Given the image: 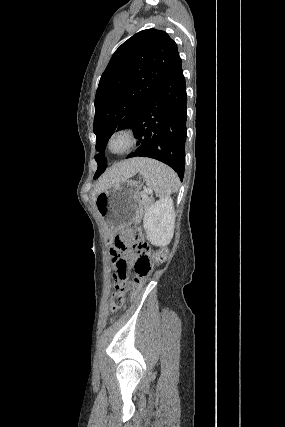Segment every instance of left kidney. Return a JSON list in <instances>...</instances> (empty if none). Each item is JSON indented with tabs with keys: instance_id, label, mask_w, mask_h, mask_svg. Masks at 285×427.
Returning a JSON list of instances; mask_svg holds the SVG:
<instances>
[{
	"instance_id": "obj_1",
	"label": "left kidney",
	"mask_w": 285,
	"mask_h": 427,
	"mask_svg": "<svg viewBox=\"0 0 285 427\" xmlns=\"http://www.w3.org/2000/svg\"><path fill=\"white\" fill-rule=\"evenodd\" d=\"M143 224L152 245H168L173 238L175 227L173 200L163 198L151 204L145 213Z\"/></svg>"
}]
</instances>
